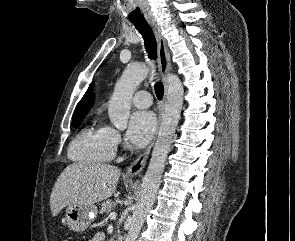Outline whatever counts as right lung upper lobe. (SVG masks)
<instances>
[{
  "label": "right lung upper lobe",
  "mask_w": 295,
  "mask_h": 241,
  "mask_svg": "<svg viewBox=\"0 0 295 241\" xmlns=\"http://www.w3.org/2000/svg\"><path fill=\"white\" fill-rule=\"evenodd\" d=\"M93 102H94V95L92 94V86H90V88L87 90L83 98L77 104L73 117L84 115V114L86 115L89 109L92 107Z\"/></svg>",
  "instance_id": "cb5924a9"
}]
</instances>
